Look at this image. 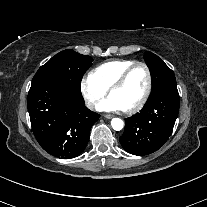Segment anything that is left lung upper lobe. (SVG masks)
I'll use <instances>...</instances> for the list:
<instances>
[{"label": "left lung upper lobe", "instance_id": "left-lung-upper-lobe-1", "mask_svg": "<svg viewBox=\"0 0 207 207\" xmlns=\"http://www.w3.org/2000/svg\"><path fill=\"white\" fill-rule=\"evenodd\" d=\"M144 59L152 76V92L150 97L167 88H177L173 71L155 54L147 51Z\"/></svg>", "mask_w": 207, "mask_h": 207}]
</instances>
